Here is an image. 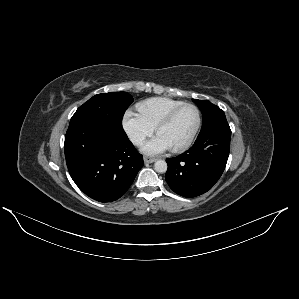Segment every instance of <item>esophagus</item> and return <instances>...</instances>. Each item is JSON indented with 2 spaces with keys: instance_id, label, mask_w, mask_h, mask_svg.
<instances>
[{
  "instance_id": "obj_1",
  "label": "esophagus",
  "mask_w": 299,
  "mask_h": 299,
  "mask_svg": "<svg viewBox=\"0 0 299 299\" xmlns=\"http://www.w3.org/2000/svg\"><path fill=\"white\" fill-rule=\"evenodd\" d=\"M155 161H156L155 158L148 157V156L144 157V162H145V163L150 164V163H153V162H155Z\"/></svg>"
}]
</instances>
